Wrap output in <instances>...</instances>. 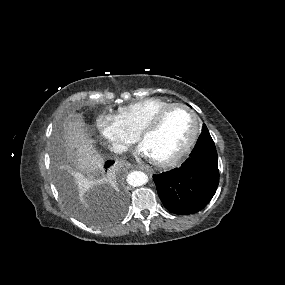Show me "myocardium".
I'll return each mask as SVG.
<instances>
[{
  "mask_svg": "<svg viewBox=\"0 0 285 285\" xmlns=\"http://www.w3.org/2000/svg\"><path fill=\"white\" fill-rule=\"evenodd\" d=\"M176 109H183L186 112H188V114L191 116L194 122V130L189 141L176 155L166 160L153 159V163L159 167L163 168L173 167L178 163H180L182 160H184L196 145L201 134L202 124L197 113L186 104L173 103L164 110H162L160 113H158L154 118L148 121L141 128V130L139 131V139L143 141L147 133L153 132L154 130L158 129L162 125L164 120L167 118V116Z\"/></svg>",
  "mask_w": 285,
  "mask_h": 285,
  "instance_id": "1",
  "label": "myocardium"
}]
</instances>
